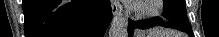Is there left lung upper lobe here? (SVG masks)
<instances>
[{"label":"left lung upper lobe","instance_id":"5c2ea615","mask_svg":"<svg viewBox=\"0 0 219 37\" xmlns=\"http://www.w3.org/2000/svg\"><path fill=\"white\" fill-rule=\"evenodd\" d=\"M163 15L171 24L183 29L185 32H191V25L187 18L185 0H164Z\"/></svg>","mask_w":219,"mask_h":37}]
</instances>
